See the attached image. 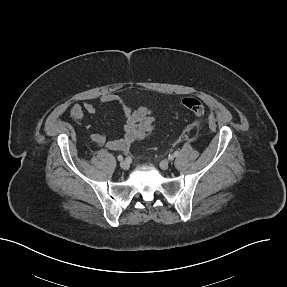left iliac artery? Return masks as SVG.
<instances>
[{
    "label": "left iliac artery",
    "mask_w": 287,
    "mask_h": 287,
    "mask_svg": "<svg viewBox=\"0 0 287 287\" xmlns=\"http://www.w3.org/2000/svg\"><path fill=\"white\" fill-rule=\"evenodd\" d=\"M179 155V152L178 151H175L174 153H173V156L174 157H177Z\"/></svg>",
    "instance_id": "1"
}]
</instances>
